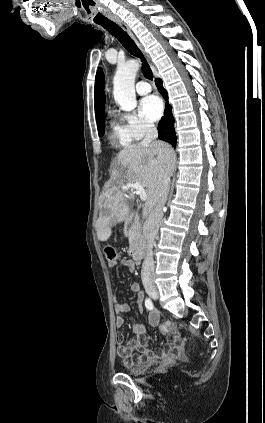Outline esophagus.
<instances>
[{
    "label": "esophagus",
    "instance_id": "esophagus-1",
    "mask_svg": "<svg viewBox=\"0 0 265 423\" xmlns=\"http://www.w3.org/2000/svg\"><path fill=\"white\" fill-rule=\"evenodd\" d=\"M112 20L119 25L125 32H127V34L135 41V43L137 44L138 48L142 51V53L144 54V56L146 57L147 61H150L149 55L144 51L142 45L138 42V40L136 39V37L134 36V34L132 33L131 29L128 27V25L123 22L121 19L117 18V17H112Z\"/></svg>",
    "mask_w": 265,
    "mask_h": 423
}]
</instances>
